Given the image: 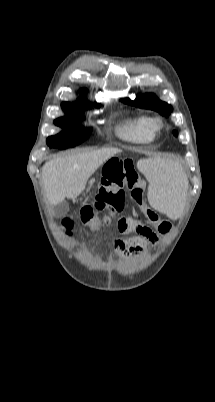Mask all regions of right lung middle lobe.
<instances>
[{"label": "right lung middle lobe", "instance_id": "dd1d6c3e", "mask_svg": "<svg viewBox=\"0 0 215 402\" xmlns=\"http://www.w3.org/2000/svg\"><path fill=\"white\" fill-rule=\"evenodd\" d=\"M90 107L91 105L81 103H63L62 108L67 116L55 120V124L62 127L65 131L49 137L47 144L50 147L64 149L80 144L83 140L88 138L91 130L84 129L78 122L82 119L80 110Z\"/></svg>", "mask_w": 215, "mask_h": 402}]
</instances>
